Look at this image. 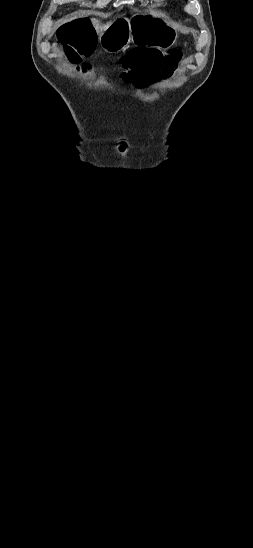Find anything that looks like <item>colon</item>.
<instances>
[{
	"label": "colon",
	"instance_id": "colon-1",
	"mask_svg": "<svg viewBox=\"0 0 253 548\" xmlns=\"http://www.w3.org/2000/svg\"><path fill=\"white\" fill-rule=\"evenodd\" d=\"M58 38L63 45L68 58L79 63L80 56L88 53L95 44V35L88 20L77 18L63 24L58 31ZM181 53L177 49H171L165 53L164 49L133 48L124 57L123 64L128 67V72L123 76L126 83L135 80L139 86L147 85L145 92L148 96L159 93L156 86L159 82H167L170 72L177 70V62ZM87 69V65L82 66Z\"/></svg>",
	"mask_w": 253,
	"mask_h": 548
}]
</instances>
